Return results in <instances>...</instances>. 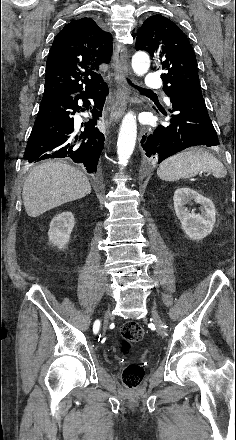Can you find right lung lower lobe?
<instances>
[{
    "instance_id": "1",
    "label": "right lung lower lobe",
    "mask_w": 236,
    "mask_h": 440,
    "mask_svg": "<svg viewBox=\"0 0 236 440\" xmlns=\"http://www.w3.org/2000/svg\"><path fill=\"white\" fill-rule=\"evenodd\" d=\"M107 84L94 91L73 96L42 99L24 152V159L38 162L48 158H67L95 174L104 146V135L95 128L102 116ZM89 99L94 101L91 106ZM90 110L92 118L78 124L73 115Z\"/></svg>"
}]
</instances>
